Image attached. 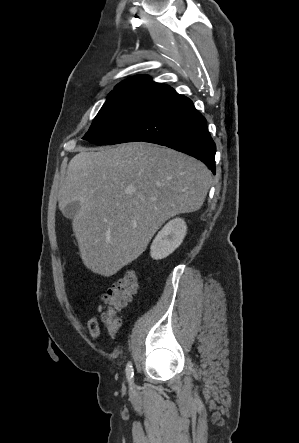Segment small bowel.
Masks as SVG:
<instances>
[{
  "label": "small bowel",
  "mask_w": 299,
  "mask_h": 443,
  "mask_svg": "<svg viewBox=\"0 0 299 443\" xmlns=\"http://www.w3.org/2000/svg\"><path fill=\"white\" fill-rule=\"evenodd\" d=\"M88 331L93 339H98L101 334V329L97 317H92L87 323Z\"/></svg>",
  "instance_id": "small-bowel-1"
}]
</instances>
